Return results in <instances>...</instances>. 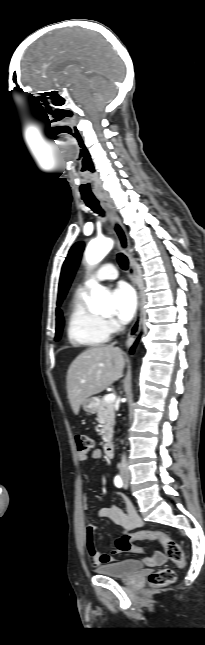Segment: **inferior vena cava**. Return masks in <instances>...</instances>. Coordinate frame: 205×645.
Wrapping results in <instances>:
<instances>
[{"mask_svg": "<svg viewBox=\"0 0 205 645\" xmlns=\"http://www.w3.org/2000/svg\"><path fill=\"white\" fill-rule=\"evenodd\" d=\"M120 469L122 473H127L128 472V463L125 455H122V460L120 464Z\"/></svg>", "mask_w": 205, "mask_h": 645, "instance_id": "602c4592", "label": "inferior vena cava"}]
</instances>
